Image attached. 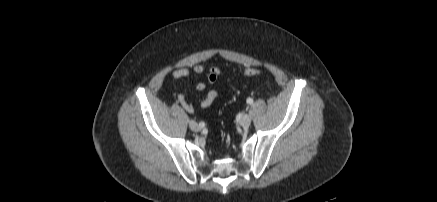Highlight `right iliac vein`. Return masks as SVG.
Segmentation results:
<instances>
[{"label": "right iliac vein", "mask_w": 437, "mask_h": 202, "mask_svg": "<svg viewBox=\"0 0 437 202\" xmlns=\"http://www.w3.org/2000/svg\"><path fill=\"white\" fill-rule=\"evenodd\" d=\"M189 127H190V129H191L192 131H194V132H198V131L201 130L200 125H198V123H197L196 121H194V120H191V121L189 122Z\"/></svg>", "instance_id": "obj_1"}]
</instances>
